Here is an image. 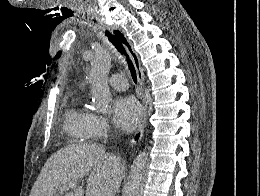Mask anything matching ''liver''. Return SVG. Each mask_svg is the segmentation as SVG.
<instances>
[{"mask_svg":"<svg viewBox=\"0 0 260 196\" xmlns=\"http://www.w3.org/2000/svg\"><path fill=\"white\" fill-rule=\"evenodd\" d=\"M85 176L86 190L80 186L66 196H115L124 178V166L118 156L96 144H72L48 158L30 196H54L60 188L77 184Z\"/></svg>","mask_w":260,"mask_h":196,"instance_id":"1","label":"liver"}]
</instances>
